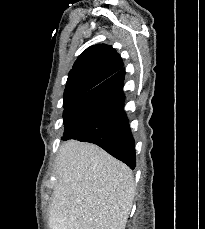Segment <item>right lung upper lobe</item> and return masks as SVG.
Here are the masks:
<instances>
[{"label": "right lung upper lobe", "instance_id": "right-lung-upper-lobe-1", "mask_svg": "<svg viewBox=\"0 0 205 229\" xmlns=\"http://www.w3.org/2000/svg\"><path fill=\"white\" fill-rule=\"evenodd\" d=\"M123 67L120 55L111 46L96 44L87 48L69 72L64 101H75Z\"/></svg>", "mask_w": 205, "mask_h": 229}]
</instances>
